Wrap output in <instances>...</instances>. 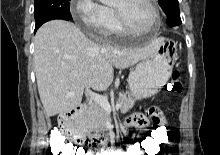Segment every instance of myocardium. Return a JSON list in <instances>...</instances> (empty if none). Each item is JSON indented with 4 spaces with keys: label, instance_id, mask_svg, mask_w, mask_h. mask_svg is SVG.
Wrapping results in <instances>:
<instances>
[{
    "label": "myocardium",
    "instance_id": "myocardium-1",
    "mask_svg": "<svg viewBox=\"0 0 220 155\" xmlns=\"http://www.w3.org/2000/svg\"><path fill=\"white\" fill-rule=\"evenodd\" d=\"M150 9H151V14H152V21L150 23V25L144 29H135L133 28L125 19L123 13L121 12V10L114 8V12L116 14V17L121 25V27L123 28V30L126 33L129 34H147L151 31H153L158 25H159V21H160V17H159V11L156 5L155 0H145Z\"/></svg>",
    "mask_w": 220,
    "mask_h": 155
}]
</instances>
